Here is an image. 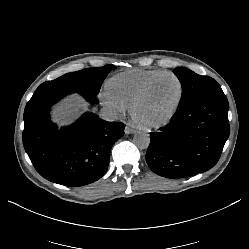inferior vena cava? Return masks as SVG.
<instances>
[{
    "label": "inferior vena cava",
    "instance_id": "1",
    "mask_svg": "<svg viewBox=\"0 0 249 249\" xmlns=\"http://www.w3.org/2000/svg\"><path fill=\"white\" fill-rule=\"evenodd\" d=\"M99 116L101 119L108 122H114L118 120V113L109 106L102 107L99 112Z\"/></svg>",
    "mask_w": 249,
    "mask_h": 249
}]
</instances>
